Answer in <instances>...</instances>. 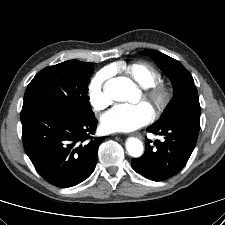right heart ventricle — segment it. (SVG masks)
Segmentation results:
<instances>
[{"label": "right heart ventricle", "instance_id": "e07e8e85", "mask_svg": "<svg viewBox=\"0 0 225 225\" xmlns=\"http://www.w3.org/2000/svg\"><path fill=\"white\" fill-rule=\"evenodd\" d=\"M117 69V67H115ZM142 88H148L161 81V74L150 64L134 62L122 68Z\"/></svg>", "mask_w": 225, "mask_h": 225}]
</instances>
